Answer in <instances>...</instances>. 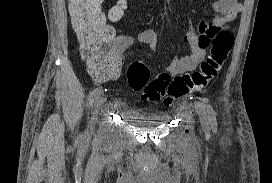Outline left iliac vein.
<instances>
[{
  "instance_id": "4c4485c4",
  "label": "left iliac vein",
  "mask_w": 272,
  "mask_h": 183,
  "mask_svg": "<svg viewBox=\"0 0 272 183\" xmlns=\"http://www.w3.org/2000/svg\"><path fill=\"white\" fill-rule=\"evenodd\" d=\"M197 111H198V114L200 116V119H201L203 125L206 127L207 126L208 117H207L204 105L202 103H198L197 104Z\"/></svg>"
}]
</instances>
